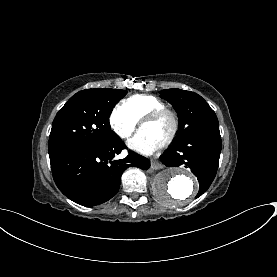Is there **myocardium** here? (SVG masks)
I'll list each match as a JSON object with an SVG mask.
<instances>
[{"label": "myocardium", "instance_id": "1", "mask_svg": "<svg viewBox=\"0 0 277 277\" xmlns=\"http://www.w3.org/2000/svg\"><path fill=\"white\" fill-rule=\"evenodd\" d=\"M163 117H168L171 120L172 127L169 134L160 142L161 145L169 144L176 136L179 130V119L177 114L168 108L154 109L146 113V115L140 120L139 127L159 120Z\"/></svg>", "mask_w": 277, "mask_h": 277}]
</instances>
